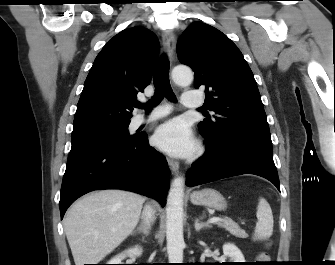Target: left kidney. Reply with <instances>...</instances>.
Segmentation results:
<instances>
[{"label": "left kidney", "mask_w": 335, "mask_h": 265, "mask_svg": "<svg viewBox=\"0 0 335 265\" xmlns=\"http://www.w3.org/2000/svg\"><path fill=\"white\" fill-rule=\"evenodd\" d=\"M224 256L229 257L231 262H245L242 252L237 246L231 243L223 245Z\"/></svg>", "instance_id": "obj_1"}]
</instances>
